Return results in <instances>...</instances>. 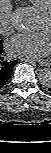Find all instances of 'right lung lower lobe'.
<instances>
[{
    "instance_id": "98d812e1",
    "label": "right lung lower lobe",
    "mask_w": 51,
    "mask_h": 153,
    "mask_svg": "<svg viewBox=\"0 0 51 153\" xmlns=\"http://www.w3.org/2000/svg\"><path fill=\"white\" fill-rule=\"evenodd\" d=\"M2 47L0 48V88L3 87L11 77L12 70L17 64V61H5L1 57Z\"/></svg>"
}]
</instances>
